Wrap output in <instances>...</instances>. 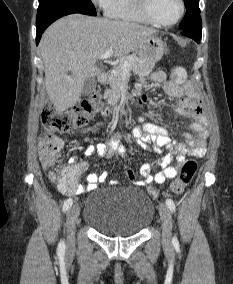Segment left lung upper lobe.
Returning <instances> with one entry per match:
<instances>
[{"label": "left lung upper lobe", "instance_id": "5c2ea615", "mask_svg": "<svg viewBox=\"0 0 233 284\" xmlns=\"http://www.w3.org/2000/svg\"><path fill=\"white\" fill-rule=\"evenodd\" d=\"M187 13L181 21L179 27L181 30H202L201 17L199 15V0H184Z\"/></svg>", "mask_w": 233, "mask_h": 284}]
</instances>
